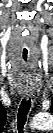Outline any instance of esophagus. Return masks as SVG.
<instances>
[{
  "label": "esophagus",
  "mask_w": 53,
  "mask_h": 133,
  "mask_svg": "<svg viewBox=\"0 0 53 133\" xmlns=\"http://www.w3.org/2000/svg\"><path fill=\"white\" fill-rule=\"evenodd\" d=\"M32 92L29 89H25L22 91V95L24 98L28 99L31 96Z\"/></svg>",
  "instance_id": "1"
}]
</instances>
